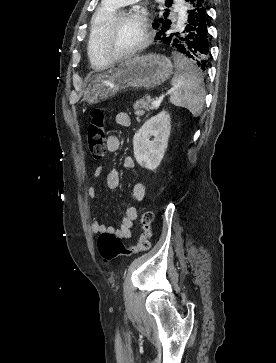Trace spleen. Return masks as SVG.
Masks as SVG:
<instances>
[{
    "label": "spleen",
    "mask_w": 276,
    "mask_h": 363,
    "mask_svg": "<svg viewBox=\"0 0 276 363\" xmlns=\"http://www.w3.org/2000/svg\"><path fill=\"white\" fill-rule=\"evenodd\" d=\"M173 60L176 72L172 79L173 92L170 102L177 107L188 109L197 117L202 113L206 94L203 78L188 58L174 53Z\"/></svg>",
    "instance_id": "obj_1"
}]
</instances>
